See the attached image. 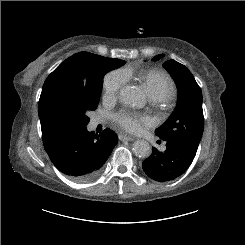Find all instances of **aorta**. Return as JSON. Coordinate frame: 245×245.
Wrapping results in <instances>:
<instances>
[{"label": "aorta", "mask_w": 245, "mask_h": 245, "mask_svg": "<svg viewBox=\"0 0 245 245\" xmlns=\"http://www.w3.org/2000/svg\"><path fill=\"white\" fill-rule=\"evenodd\" d=\"M120 100L131 107L141 108L145 104L144 94L135 86H125L120 90ZM135 156L146 158L151 154L150 144L145 140H137L132 145Z\"/></svg>", "instance_id": "obj_1"}]
</instances>
